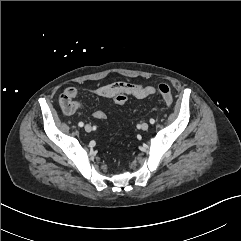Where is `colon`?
I'll list each match as a JSON object with an SVG mask.
<instances>
[{
  "label": "colon",
  "mask_w": 241,
  "mask_h": 241,
  "mask_svg": "<svg viewBox=\"0 0 241 241\" xmlns=\"http://www.w3.org/2000/svg\"><path fill=\"white\" fill-rule=\"evenodd\" d=\"M158 92L160 93L163 101L167 105H171L173 102V95L171 92V89L168 85L166 84H159L158 85ZM114 102L118 105H123L127 101V95L125 93H117L114 96ZM105 116L102 117L104 119Z\"/></svg>",
  "instance_id": "colon-1"
}]
</instances>
